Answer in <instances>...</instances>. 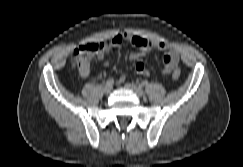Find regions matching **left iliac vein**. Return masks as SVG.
Instances as JSON below:
<instances>
[{"mask_svg": "<svg viewBox=\"0 0 243 167\" xmlns=\"http://www.w3.org/2000/svg\"><path fill=\"white\" fill-rule=\"evenodd\" d=\"M126 87L130 90H132L136 95L143 96L144 91L140 86L135 85L134 83H127Z\"/></svg>", "mask_w": 243, "mask_h": 167, "instance_id": "1", "label": "left iliac vein"}]
</instances>
